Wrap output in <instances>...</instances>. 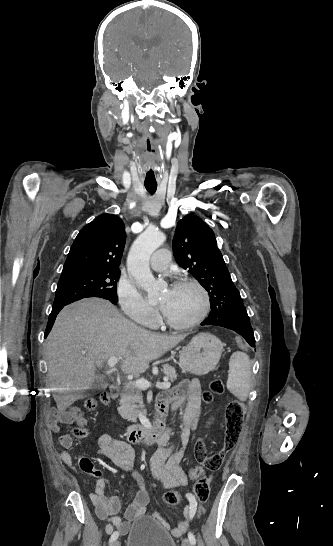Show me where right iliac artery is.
Listing matches in <instances>:
<instances>
[{
    "instance_id": "1",
    "label": "right iliac artery",
    "mask_w": 333,
    "mask_h": 546,
    "mask_svg": "<svg viewBox=\"0 0 333 546\" xmlns=\"http://www.w3.org/2000/svg\"><path fill=\"white\" fill-rule=\"evenodd\" d=\"M118 536H119L118 531H115V532L111 535V537H110V539H109V544H111L113 541H115V540L118 538Z\"/></svg>"
}]
</instances>
